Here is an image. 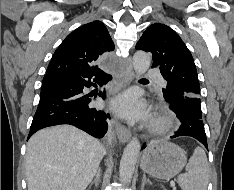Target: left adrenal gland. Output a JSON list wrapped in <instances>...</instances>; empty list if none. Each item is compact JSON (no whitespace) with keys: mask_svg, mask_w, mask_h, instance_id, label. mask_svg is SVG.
I'll return each mask as SVG.
<instances>
[{"mask_svg":"<svg viewBox=\"0 0 234 190\" xmlns=\"http://www.w3.org/2000/svg\"><path fill=\"white\" fill-rule=\"evenodd\" d=\"M149 183L150 185H152L151 181L149 179L146 178V175L143 174L142 177V185H141V190H144L145 185Z\"/></svg>","mask_w":234,"mask_h":190,"instance_id":"a2214340","label":"left adrenal gland"}]
</instances>
